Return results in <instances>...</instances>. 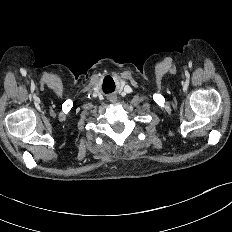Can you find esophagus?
<instances>
[{
    "instance_id": "1",
    "label": "esophagus",
    "mask_w": 232,
    "mask_h": 232,
    "mask_svg": "<svg viewBox=\"0 0 232 232\" xmlns=\"http://www.w3.org/2000/svg\"><path fill=\"white\" fill-rule=\"evenodd\" d=\"M116 100H117L116 97H111L110 98V101L113 102V103L116 102Z\"/></svg>"
}]
</instances>
